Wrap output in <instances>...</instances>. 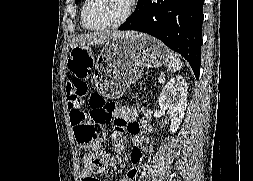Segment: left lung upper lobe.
<instances>
[{
	"label": "left lung upper lobe",
	"instance_id": "obj_1",
	"mask_svg": "<svg viewBox=\"0 0 253 181\" xmlns=\"http://www.w3.org/2000/svg\"><path fill=\"white\" fill-rule=\"evenodd\" d=\"M80 0H75V3H78Z\"/></svg>",
	"mask_w": 253,
	"mask_h": 181
}]
</instances>
